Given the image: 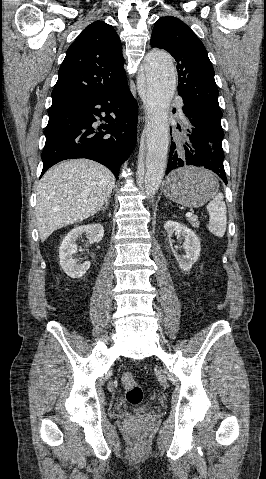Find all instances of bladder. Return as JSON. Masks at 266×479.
Wrapping results in <instances>:
<instances>
[{"label": "bladder", "instance_id": "1", "mask_svg": "<svg viewBox=\"0 0 266 479\" xmlns=\"http://www.w3.org/2000/svg\"><path fill=\"white\" fill-rule=\"evenodd\" d=\"M152 409H153V406L151 404H143V405L138 406L135 409V412L139 413V414H144V413H148V412L152 411Z\"/></svg>", "mask_w": 266, "mask_h": 479}]
</instances>
